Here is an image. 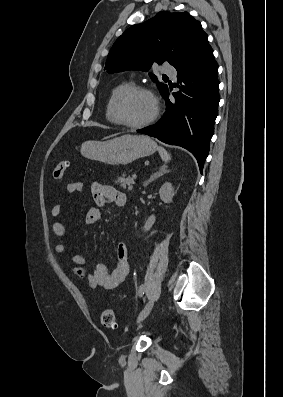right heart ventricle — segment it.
Returning a JSON list of instances; mask_svg holds the SVG:
<instances>
[{
	"label": "right heart ventricle",
	"mask_w": 283,
	"mask_h": 397,
	"mask_svg": "<svg viewBox=\"0 0 283 397\" xmlns=\"http://www.w3.org/2000/svg\"><path fill=\"white\" fill-rule=\"evenodd\" d=\"M133 86L132 82L129 80H125L122 82H119L115 86L112 87L110 90V93L107 98L106 102V109H105V114L106 118L109 122L117 124L118 121L116 119L115 113H114V102L117 96L122 93L124 90L130 88Z\"/></svg>",
	"instance_id": "obj_1"
}]
</instances>
